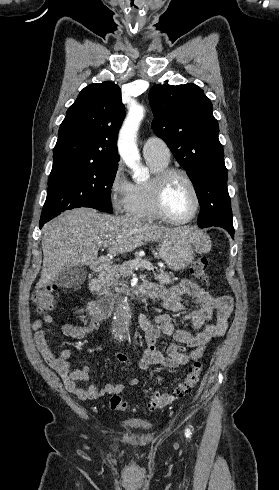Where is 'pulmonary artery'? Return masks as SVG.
Here are the masks:
<instances>
[{"label": "pulmonary artery", "mask_w": 279, "mask_h": 490, "mask_svg": "<svg viewBox=\"0 0 279 490\" xmlns=\"http://www.w3.org/2000/svg\"><path fill=\"white\" fill-rule=\"evenodd\" d=\"M143 155L146 159L169 161L171 157V152L163 138L152 135L148 137L144 142Z\"/></svg>", "instance_id": "pulmonary-artery-1"}]
</instances>
